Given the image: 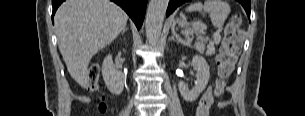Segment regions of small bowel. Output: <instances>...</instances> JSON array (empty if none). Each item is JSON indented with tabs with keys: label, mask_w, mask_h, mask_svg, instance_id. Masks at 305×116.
<instances>
[{
	"label": "small bowel",
	"mask_w": 305,
	"mask_h": 116,
	"mask_svg": "<svg viewBox=\"0 0 305 116\" xmlns=\"http://www.w3.org/2000/svg\"><path fill=\"white\" fill-rule=\"evenodd\" d=\"M213 104V95L212 89L209 87L203 93L199 105L197 107L196 116H208L209 110ZM225 104L221 103L220 107H223Z\"/></svg>",
	"instance_id": "small-bowel-1"
}]
</instances>
